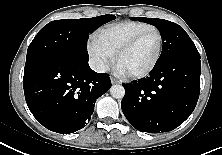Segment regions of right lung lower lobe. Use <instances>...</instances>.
<instances>
[{"label":"right lung lower lobe","instance_id":"right-lung-lower-lobe-1","mask_svg":"<svg viewBox=\"0 0 222 155\" xmlns=\"http://www.w3.org/2000/svg\"><path fill=\"white\" fill-rule=\"evenodd\" d=\"M26 103L47 129L70 134L90 121L96 100L111 87L107 73H96L88 60L55 58L24 69Z\"/></svg>","mask_w":222,"mask_h":155}]
</instances>
